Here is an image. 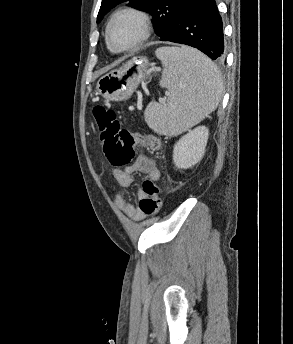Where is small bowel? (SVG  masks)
Masks as SVG:
<instances>
[{
    "label": "small bowel",
    "instance_id": "1",
    "mask_svg": "<svg viewBox=\"0 0 293 344\" xmlns=\"http://www.w3.org/2000/svg\"><path fill=\"white\" fill-rule=\"evenodd\" d=\"M136 172L143 173L154 181H158L161 176L155 162L145 155H139L132 165L124 169L115 170L113 175L119 186L122 189H126L132 185L134 181V173ZM144 197V192L142 190H138L139 202ZM117 204L119 209L123 211L129 218L136 221L144 219L145 215L140 211L139 204H134L126 200L124 197H120Z\"/></svg>",
    "mask_w": 293,
    "mask_h": 344
}]
</instances>
